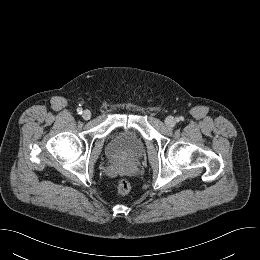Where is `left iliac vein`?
<instances>
[{
	"label": "left iliac vein",
	"mask_w": 260,
	"mask_h": 260,
	"mask_svg": "<svg viewBox=\"0 0 260 260\" xmlns=\"http://www.w3.org/2000/svg\"><path fill=\"white\" fill-rule=\"evenodd\" d=\"M176 121H175V118L172 117V116H168L166 119H165V124L168 126V127H173L175 125Z\"/></svg>",
	"instance_id": "obj_1"
}]
</instances>
